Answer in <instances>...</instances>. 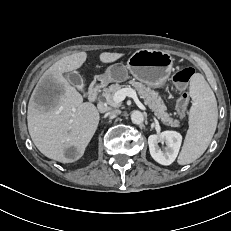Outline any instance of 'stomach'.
Wrapping results in <instances>:
<instances>
[{"label":"stomach","mask_w":231,"mask_h":231,"mask_svg":"<svg viewBox=\"0 0 231 231\" xmlns=\"http://www.w3.org/2000/svg\"><path fill=\"white\" fill-rule=\"evenodd\" d=\"M173 61V57L166 51L140 49L129 58L126 66L113 64L102 77L109 82H122L130 72L138 81L157 88L163 86L169 78Z\"/></svg>","instance_id":"stomach-1"}]
</instances>
